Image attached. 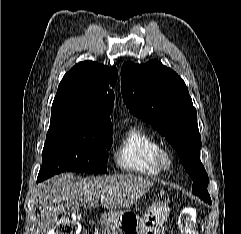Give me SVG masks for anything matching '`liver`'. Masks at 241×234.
<instances>
[{
  "mask_svg": "<svg viewBox=\"0 0 241 234\" xmlns=\"http://www.w3.org/2000/svg\"><path fill=\"white\" fill-rule=\"evenodd\" d=\"M153 186L152 180L132 174L75 181L67 174L51 177L38 185L40 223L36 234L54 229L62 212L97 207L100 196L104 208L122 209L136 203Z\"/></svg>",
  "mask_w": 241,
  "mask_h": 234,
  "instance_id": "liver-1",
  "label": "liver"
}]
</instances>
